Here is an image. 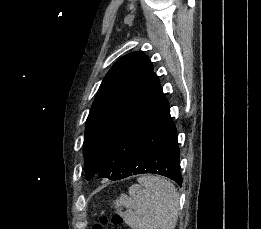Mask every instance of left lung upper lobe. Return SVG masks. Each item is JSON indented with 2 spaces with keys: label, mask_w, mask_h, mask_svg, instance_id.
Returning a JSON list of instances; mask_svg holds the SVG:
<instances>
[{
  "label": "left lung upper lobe",
  "mask_w": 261,
  "mask_h": 229,
  "mask_svg": "<svg viewBox=\"0 0 261 229\" xmlns=\"http://www.w3.org/2000/svg\"><path fill=\"white\" fill-rule=\"evenodd\" d=\"M160 89L152 63L141 52L127 54L112 66L86 121V179L97 173L108 149Z\"/></svg>",
  "instance_id": "5c2ea615"
}]
</instances>
